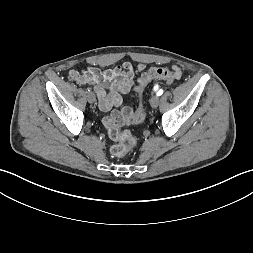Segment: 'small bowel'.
I'll list each match as a JSON object with an SVG mask.
<instances>
[{"label": "small bowel", "instance_id": "c3829d8e", "mask_svg": "<svg viewBox=\"0 0 253 253\" xmlns=\"http://www.w3.org/2000/svg\"><path fill=\"white\" fill-rule=\"evenodd\" d=\"M145 69L146 65L143 63L134 68L130 62H124L105 70L95 66H89L82 72L72 70L69 77L80 84L93 86L99 98V108L106 112L121 105L122 96L131 91L136 75Z\"/></svg>", "mask_w": 253, "mask_h": 253}]
</instances>
